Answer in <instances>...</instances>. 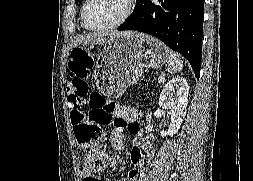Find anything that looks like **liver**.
<instances>
[{"mask_svg": "<svg viewBox=\"0 0 253 181\" xmlns=\"http://www.w3.org/2000/svg\"><path fill=\"white\" fill-rule=\"evenodd\" d=\"M134 31H107V32H94L86 35H82L76 39L73 44V47H77L80 44H102L106 42L108 39L121 37V36H130L133 35Z\"/></svg>", "mask_w": 253, "mask_h": 181, "instance_id": "liver-1", "label": "liver"}]
</instances>
